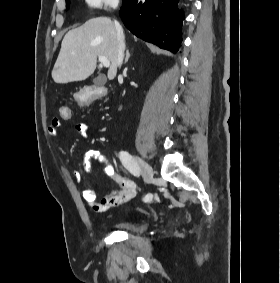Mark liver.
I'll return each mask as SVG.
<instances>
[{
    "label": "liver",
    "mask_w": 280,
    "mask_h": 283,
    "mask_svg": "<svg viewBox=\"0 0 280 283\" xmlns=\"http://www.w3.org/2000/svg\"><path fill=\"white\" fill-rule=\"evenodd\" d=\"M117 49L115 24L107 17L92 18L66 33L52 78L62 84L82 81L94 73L97 57L102 55L111 63L107 76L113 80L118 67Z\"/></svg>",
    "instance_id": "1"
}]
</instances>
